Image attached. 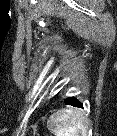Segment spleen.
<instances>
[{
	"mask_svg": "<svg viewBox=\"0 0 117 136\" xmlns=\"http://www.w3.org/2000/svg\"><path fill=\"white\" fill-rule=\"evenodd\" d=\"M47 127L55 136H86L87 120L79 110L62 109L53 114Z\"/></svg>",
	"mask_w": 117,
	"mask_h": 136,
	"instance_id": "obj_1",
	"label": "spleen"
}]
</instances>
